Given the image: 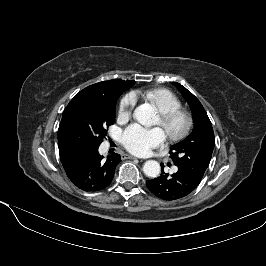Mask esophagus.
Listing matches in <instances>:
<instances>
[{"label":"esophagus","mask_w":266,"mask_h":266,"mask_svg":"<svg viewBox=\"0 0 266 266\" xmlns=\"http://www.w3.org/2000/svg\"><path fill=\"white\" fill-rule=\"evenodd\" d=\"M124 158H127V159H138V158H136V157H134L132 155H125Z\"/></svg>","instance_id":"34e87169"}]
</instances>
